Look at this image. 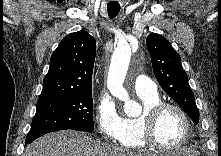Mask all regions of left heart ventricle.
<instances>
[{"mask_svg": "<svg viewBox=\"0 0 221 156\" xmlns=\"http://www.w3.org/2000/svg\"><path fill=\"white\" fill-rule=\"evenodd\" d=\"M155 135L165 146L178 145L185 135V124L181 116L174 110H166L158 120Z\"/></svg>", "mask_w": 221, "mask_h": 156, "instance_id": "obj_1", "label": "left heart ventricle"}]
</instances>
